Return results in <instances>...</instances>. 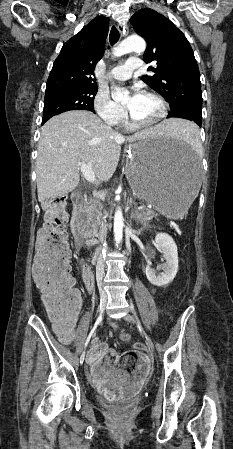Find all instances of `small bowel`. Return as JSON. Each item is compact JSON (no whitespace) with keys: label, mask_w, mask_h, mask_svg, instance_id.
Listing matches in <instances>:
<instances>
[{"label":"small bowel","mask_w":233,"mask_h":449,"mask_svg":"<svg viewBox=\"0 0 233 449\" xmlns=\"http://www.w3.org/2000/svg\"><path fill=\"white\" fill-rule=\"evenodd\" d=\"M79 279L84 282L89 292L94 290L95 272H81ZM73 327L74 319L68 323H55L56 332L62 342L68 344L73 340ZM121 338L125 342L130 340L125 331L121 332ZM87 361L91 367V378L101 389L98 392L99 399H133L136 390H142L143 377H150V368H145V359H138L134 368H115L118 354L97 339H93Z\"/></svg>","instance_id":"1"}]
</instances>
